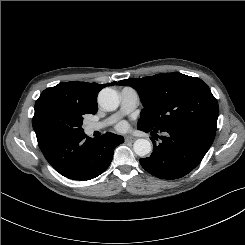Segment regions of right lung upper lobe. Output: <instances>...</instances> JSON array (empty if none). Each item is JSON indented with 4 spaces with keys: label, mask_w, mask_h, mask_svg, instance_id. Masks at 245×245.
<instances>
[{
    "label": "right lung upper lobe",
    "mask_w": 245,
    "mask_h": 245,
    "mask_svg": "<svg viewBox=\"0 0 245 245\" xmlns=\"http://www.w3.org/2000/svg\"><path fill=\"white\" fill-rule=\"evenodd\" d=\"M114 84L115 82L102 85L79 81L63 82L54 87L45 89L39 99L47 96H59L88 114H96L98 109L96 104L98 92L107 85L111 86ZM33 128L37 136L38 145L45 156L49 153L50 148L57 140L47 136L36 126H33Z\"/></svg>",
    "instance_id": "cb5924a9"
}]
</instances>
